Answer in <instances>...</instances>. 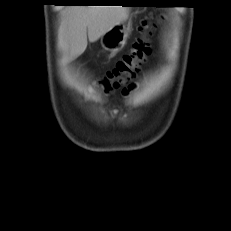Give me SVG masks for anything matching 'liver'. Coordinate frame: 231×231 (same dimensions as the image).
<instances>
[{
	"mask_svg": "<svg viewBox=\"0 0 231 231\" xmlns=\"http://www.w3.org/2000/svg\"><path fill=\"white\" fill-rule=\"evenodd\" d=\"M59 48L68 59L80 56L88 40L97 41L110 29L126 21L129 8L122 6H70L63 10Z\"/></svg>",
	"mask_w": 231,
	"mask_h": 231,
	"instance_id": "obj_1",
	"label": "liver"
}]
</instances>
